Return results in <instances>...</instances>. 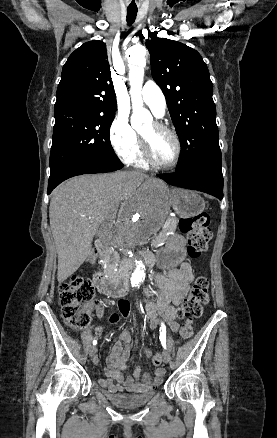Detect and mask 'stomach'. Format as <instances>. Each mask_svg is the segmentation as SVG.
Here are the masks:
<instances>
[{"label": "stomach", "mask_w": 277, "mask_h": 438, "mask_svg": "<svg viewBox=\"0 0 277 438\" xmlns=\"http://www.w3.org/2000/svg\"><path fill=\"white\" fill-rule=\"evenodd\" d=\"M171 204L180 218H191L201 214L205 202L198 194L185 189L171 192ZM186 240L183 236L173 234L168 238L166 247L158 254V264L162 268H174L184 260Z\"/></svg>", "instance_id": "0dacf381"}]
</instances>
